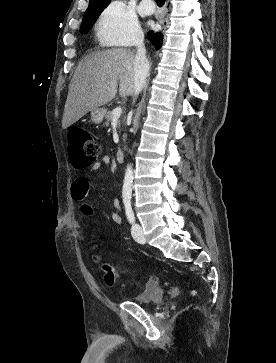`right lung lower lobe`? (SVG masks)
I'll return each mask as SVG.
<instances>
[{
	"mask_svg": "<svg viewBox=\"0 0 276 363\" xmlns=\"http://www.w3.org/2000/svg\"><path fill=\"white\" fill-rule=\"evenodd\" d=\"M163 36L162 32H148V39L155 46L156 50L162 46Z\"/></svg>",
	"mask_w": 276,
	"mask_h": 363,
	"instance_id": "right-lung-lower-lobe-1",
	"label": "right lung lower lobe"
}]
</instances>
